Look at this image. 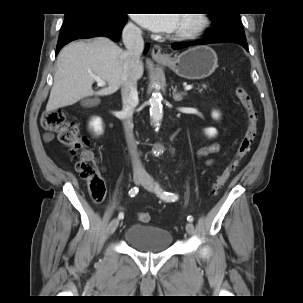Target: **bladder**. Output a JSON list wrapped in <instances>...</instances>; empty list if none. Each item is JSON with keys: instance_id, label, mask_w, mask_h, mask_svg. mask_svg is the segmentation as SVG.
Returning <instances> with one entry per match:
<instances>
[{"instance_id": "bladder-1", "label": "bladder", "mask_w": 303, "mask_h": 303, "mask_svg": "<svg viewBox=\"0 0 303 303\" xmlns=\"http://www.w3.org/2000/svg\"><path fill=\"white\" fill-rule=\"evenodd\" d=\"M172 234L164 229L145 224H132L124 234V241L144 252H161L172 243Z\"/></svg>"}]
</instances>
